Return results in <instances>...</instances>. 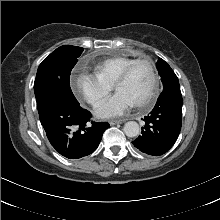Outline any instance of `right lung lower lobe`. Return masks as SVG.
Masks as SVG:
<instances>
[{"instance_id":"1","label":"right lung lower lobe","mask_w":220,"mask_h":220,"mask_svg":"<svg viewBox=\"0 0 220 220\" xmlns=\"http://www.w3.org/2000/svg\"><path fill=\"white\" fill-rule=\"evenodd\" d=\"M41 124L48 140L62 156L77 159L87 156L98 147L107 122H91V113L80 107L78 101L71 102L55 98L38 110Z\"/></svg>"}]
</instances>
